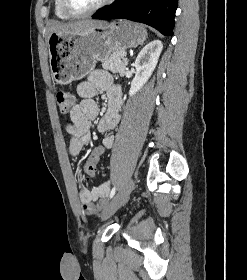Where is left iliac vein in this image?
<instances>
[{
  "label": "left iliac vein",
  "mask_w": 247,
  "mask_h": 280,
  "mask_svg": "<svg viewBox=\"0 0 247 280\" xmlns=\"http://www.w3.org/2000/svg\"><path fill=\"white\" fill-rule=\"evenodd\" d=\"M133 186L134 182L133 180H130L120 189V191L115 195V197L103 211L101 216L103 220H106L107 218L112 216L121 207V205L126 201L128 196L130 195Z\"/></svg>",
  "instance_id": "obj_1"
}]
</instances>
